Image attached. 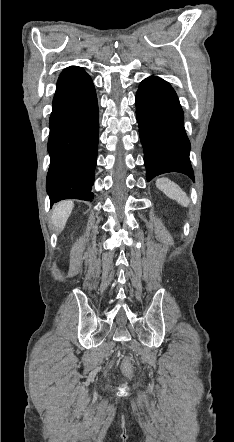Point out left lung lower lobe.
Returning a JSON list of instances; mask_svg holds the SVG:
<instances>
[{
	"instance_id": "obj_1",
	"label": "left lung lower lobe",
	"mask_w": 234,
	"mask_h": 442,
	"mask_svg": "<svg viewBox=\"0 0 234 442\" xmlns=\"http://www.w3.org/2000/svg\"><path fill=\"white\" fill-rule=\"evenodd\" d=\"M135 104L147 180L167 172L194 180L183 111L173 88L158 77H148L139 86Z\"/></svg>"
}]
</instances>
